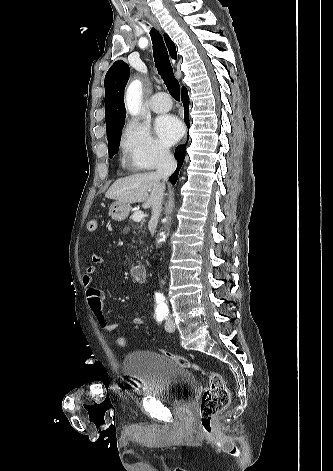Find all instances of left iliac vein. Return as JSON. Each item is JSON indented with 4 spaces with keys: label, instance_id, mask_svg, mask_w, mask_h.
Masks as SVG:
<instances>
[{
    "label": "left iliac vein",
    "instance_id": "1",
    "mask_svg": "<svg viewBox=\"0 0 333 471\" xmlns=\"http://www.w3.org/2000/svg\"><path fill=\"white\" fill-rule=\"evenodd\" d=\"M165 329L167 332H173L175 330V323L170 318L165 322Z\"/></svg>",
    "mask_w": 333,
    "mask_h": 471
}]
</instances>
